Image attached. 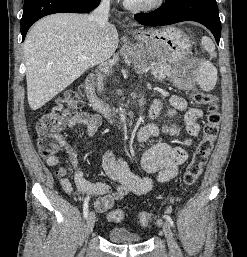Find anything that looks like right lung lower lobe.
<instances>
[{
	"label": "right lung lower lobe",
	"mask_w": 247,
	"mask_h": 257,
	"mask_svg": "<svg viewBox=\"0 0 247 257\" xmlns=\"http://www.w3.org/2000/svg\"><path fill=\"white\" fill-rule=\"evenodd\" d=\"M100 0H25L21 19V34L24 41L28 29L40 18L54 13H88Z\"/></svg>",
	"instance_id": "right-lung-lower-lobe-1"
}]
</instances>
